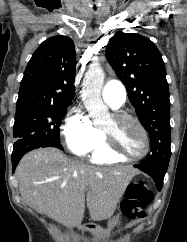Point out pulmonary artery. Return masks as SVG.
<instances>
[{
	"instance_id": "obj_1",
	"label": "pulmonary artery",
	"mask_w": 187,
	"mask_h": 242,
	"mask_svg": "<svg viewBox=\"0 0 187 242\" xmlns=\"http://www.w3.org/2000/svg\"><path fill=\"white\" fill-rule=\"evenodd\" d=\"M102 99L113 109L120 108L126 100V90L117 80L108 81L102 90Z\"/></svg>"
}]
</instances>
